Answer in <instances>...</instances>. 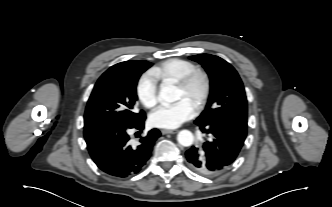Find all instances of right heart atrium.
Listing matches in <instances>:
<instances>
[{"mask_svg":"<svg viewBox=\"0 0 332 207\" xmlns=\"http://www.w3.org/2000/svg\"><path fill=\"white\" fill-rule=\"evenodd\" d=\"M136 94L146 108H153L158 102L157 79L151 73H144L137 82Z\"/></svg>","mask_w":332,"mask_h":207,"instance_id":"right-heart-atrium-1","label":"right heart atrium"}]
</instances>
